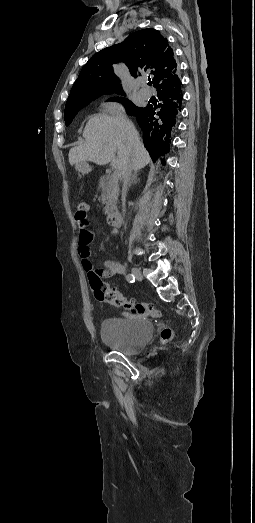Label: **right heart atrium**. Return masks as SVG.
<instances>
[{"label":"right heart atrium","instance_id":"right-heart-atrium-1","mask_svg":"<svg viewBox=\"0 0 255 523\" xmlns=\"http://www.w3.org/2000/svg\"><path fill=\"white\" fill-rule=\"evenodd\" d=\"M102 109L110 118L115 120H123L127 116L125 106L117 100L104 102Z\"/></svg>","mask_w":255,"mask_h":523}]
</instances>
